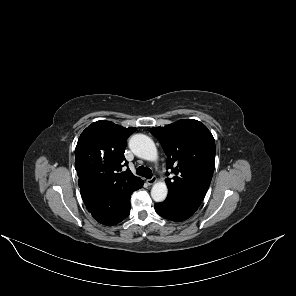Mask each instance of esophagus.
<instances>
[{
    "mask_svg": "<svg viewBox=\"0 0 296 296\" xmlns=\"http://www.w3.org/2000/svg\"><path fill=\"white\" fill-rule=\"evenodd\" d=\"M156 181H157L156 176H153L151 179H148V180H147V183H148L149 185H153V184L156 183Z\"/></svg>",
    "mask_w": 296,
    "mask_h": 296,
    "instance_id": "obj_1",
    "label": "esophagus"
}]
</instances>
